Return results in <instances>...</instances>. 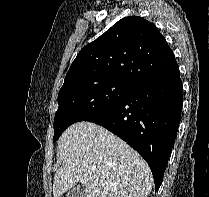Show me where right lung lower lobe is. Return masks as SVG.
Returning <instances> with one entry per match:
<instances>
[{"mask_svg":"<svg viewBox=\"0 0 209 197\" xmlns=\"http://www.w3.org/2000/svg\"><path fill=\"white\" fill-rule=\"evenodd\" d=\"M179 66L137 85L125 98L85 121L126 141L149 164L158 191L180 123L183 104Z\"/></svg>","mask_w":209,"mask_h":197,"instance_id":"1","label":"right lung lower lobe"}]
</instances>
